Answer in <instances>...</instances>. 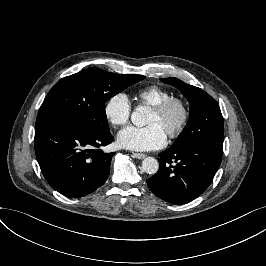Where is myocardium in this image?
Here are the masks:
<instances>
[{
    "label": "myocardium",
    "instance_id": "f54148a6",
    "mask_svg": "<svg viewBox=\"0 0 266 266\" xmlns=\"http://www.w3.org/2000/svg\"><path fill=\"white\" fill-rule=\"evenodd\" d=\"M175 106L180 108L181 118L166 133L171 139L179 137L187 127L191 115L189 103L181 97L170 96L159 104L152 106V110L161 115L167 114Z\"/></svg>",
    "mask_w": 266,
    "mask_h": 266
}]
</instances>
